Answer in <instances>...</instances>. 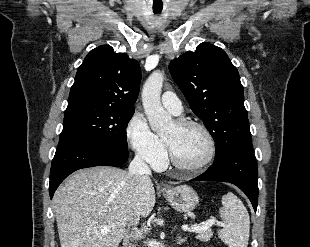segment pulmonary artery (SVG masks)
Returning a JSON list of instances; mask_svg holds the SVG:
<instances>
[{
	"instance_id": "e3ab8cb5",
	"label": "pulmonary artery",
	"mask_w": 310,
	"mask_h": 247,
	"mask_svg": "<svg viewBox=\"0 0 310 247\" xmlns=\"http://www.w3.org/2000/svg\"><path fill=\"white\" fill-rule=\"evenodd\" d=\"M161 102L164 108H166L173 115L178 116L182 114L183 112L182 103L174 92L172 91L164 92L161 96Z\"/></svg>"
}]
</instances>
